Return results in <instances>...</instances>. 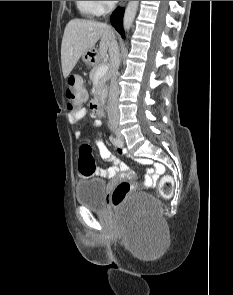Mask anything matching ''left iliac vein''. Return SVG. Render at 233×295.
<instances>
[{"mask_svg": "<svg viewBox=\"0 0 233 295\" xmlns=\"http://www.w3.org/2000/svg\"><path fill=\"white\" fill-rule=\"evenodd\" d=\"M118 138H119V140H122L123 138H122V135L119 133L118 134Z\"/></svg>", "mask_w": 233, "mask_h": 295, "instance_id": "4c4485c4", "label": "left iliac vein"}]
</instances>
